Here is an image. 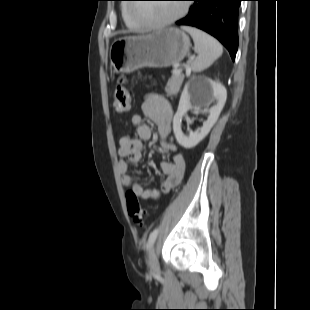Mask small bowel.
I'll return each instance as SVG.
<instances>
[{
  "label": "small bowel",
  "mask_w": 310,
  "mask_h": 310,
  "mask_svg": "<svg viewBox=\"0 0 310 310\" xmlns=\"http://www.w3.org/2000/svg\"><path fill=\"white\" fill-rule=\"evenodd\" d=\"M142 113L156 125L159 134V145L167 152L173 154L171 161L163 160L160 164L166 178L162 181L160 189L144 188L141 183L128 173L129 163L139 162L142 156V143L151 138L152 130L143 122L140 114L131 117V124L136 129L137 138L125 134L119 139L118 169L122 184L133 190L141 199H157L161 193L168 194L183 180L186 162L183 155L178 152L177 146L168 140L171 132L173 110L170 103L159 94H148L142 102Z\"/></svg>",
  "instance_id": "1"
}]
</instances>
